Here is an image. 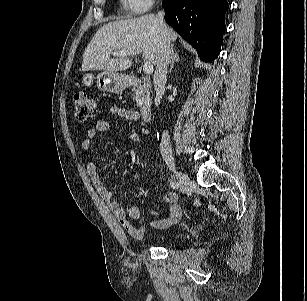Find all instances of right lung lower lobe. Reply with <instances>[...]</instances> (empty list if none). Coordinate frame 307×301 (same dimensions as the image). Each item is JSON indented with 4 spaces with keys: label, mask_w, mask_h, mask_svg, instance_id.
<instances>
[{
    "label": "right lung lower lobe",
    "mask_w": 307,
    "mask_h": 301,
    "mask_svg": "<svg viewBox=\"0 0 307 301\" xmlns=\"http://www.w3.org/2000/svg\"><path fill=\"white\" fill-rule=\"evenodd\" d=\"M165 20L198 52L203 61L220 53L227 0H163Z\"/></svg>",
    "instance_id": "98d812e1"
}]
</instances>
